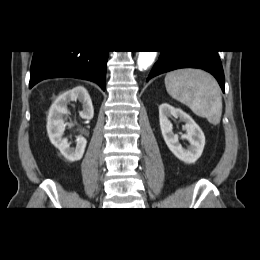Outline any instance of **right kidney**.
Listing matches in <instances>:
<instances>
[{
  "instance_id": "ca27d5eb",
  "label": "right kidney",
  "mask_w": 260,
  "mask_h": 260,
  "mask_svg": "<svg viewBox=\"0 0 260 260\" xmlns=\"http://www.w3.org/2000/svg\"><path fill=\"white\" fill-rule=\"evenodd\" d=\"M79 101L83 110L79 113L82 119L93 118L94 109L88 91L78 86L62 93L52 104L47 121V132L51 143L59 149L61 154L70 162H75L83 157L87 141L82 136H77L76 147H70L67 138H63L65 123L63 116L69 113L67 105L71 101Z\"/></svg>"
}]
</instances>
